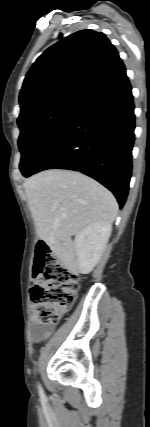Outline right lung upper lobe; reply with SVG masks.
Wrapping results in <instances>:
<instances>
[{
    "label": "right lung upper lobe",
    "instance_id": "obj_1",
    "mask_svg": "<svg viewBox=\"0 0 150 427\" xmlns=\"http://www.w3.org/2000/svg\"><path fill=\"white\" fill-rule=\"evenodd\" d=\"M125 73L104 33L90 29L73 33L49 47L28 71L19 96V117L48 105L79 106Z\"/></svg>",
    "mask_w": 150,
    "mask_h": 427
}]
</instances>
